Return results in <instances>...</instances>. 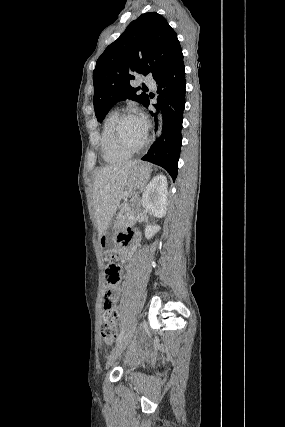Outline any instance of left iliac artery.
<instances>
[{
  "label": "left iliac artery",
  "instance_id": "44dca946",
  "mask_svg": "<svg viewBox=\"0 0 285 427\" xmlns=\"http://www.w3.org/2000/svg\"><path fill=\"white\" fill-rule=\"evenodd\" d=\"M124 333H125L124 326H122V329H121V331H120V334L118 335V337H117V339H116V342H117V343H119V342L123 339V337H124Z\"/></svg>",
  "mask_w": 285,
  "mask_h": 427
}]
</instances>
